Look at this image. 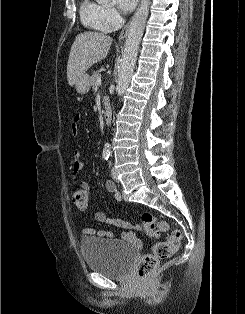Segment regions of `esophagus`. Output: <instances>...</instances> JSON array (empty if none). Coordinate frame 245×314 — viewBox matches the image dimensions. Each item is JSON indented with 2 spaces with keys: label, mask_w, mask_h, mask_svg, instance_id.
<instances>
[{
  "label": "esophagus",
  "mask_w": 245,
  "mask_h": 314,
  "mask_svg": "<svg viewBox=\"0 0 245 314\" xmlns=\"http://www.w3.org/2000/svg\"><path fill=\"white\" fill-rule=\"evenodd\" d=\"M129 30V23L123 28V30L120 32L119 36H118V40L122 41L124 40V38L127 36Z\"/></svg>",
  "instance_id": "esophagus-1"
}]
</instances>
